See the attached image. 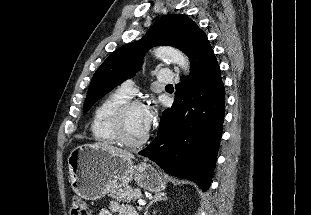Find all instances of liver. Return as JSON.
<instances>
[{
	"label": "liver",
	"instance_id": "6515ba94",
	"mask_svg": "<svg viewBox=\"0 0 311 215\" xmlns=\"http://www.w3.org/2000/svg\"><path fill=\"white\" fill-rule=\"evenodd\" d=\"M93 145L100 147V148L108 151L111 154L121 155V156L127 157L129 159L134 158L133 154H131L130 152H128L126 150H122V149L117 148L115 146L109 145V144L104 143V142H97V143H94Z\"/></svg>",
	"mask_w": 311,
	"mask_h": 215
}]
</instances>
